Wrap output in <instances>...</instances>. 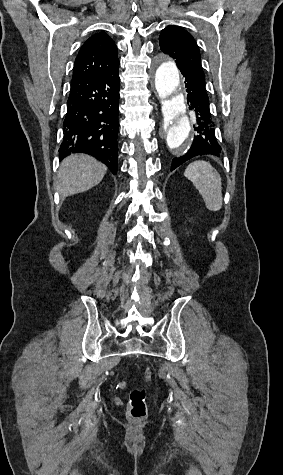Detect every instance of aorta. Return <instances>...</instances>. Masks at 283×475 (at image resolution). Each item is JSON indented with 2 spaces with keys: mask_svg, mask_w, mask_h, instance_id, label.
<instances>
[{
  "mask_svg": "<svg viewBox=\"0 0 283 475\" xmlns=\"http://www.w3.org/2000/svg\"><path fill=\"white\" fill-rule=\"evenodd\" d=\"M155 87L163 103L162 148L183 155L191 145L193 129L181 94L179 70L173 61L157 64Z\"/></svg>",
  "mask_w": 283,
  "mask_h": 475,
  "instance_id": "obj_1",
  "label": "aorta"
}]
</instances>
